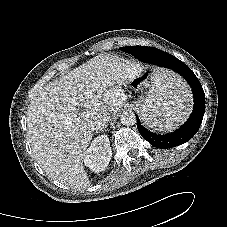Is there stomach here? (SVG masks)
I'll return each instance as SVG.
<instances>
[{
  "mask_svg": "<svg viewBox=\"0 0 227 227\" xmlns=\"http://www.w3.org/2000/svg\"><path fill=\"white\" fill-rule=\"evenodd\" d=\"M111 92L113 94L119 95V94H121V89L114 87L111 89Z\"/></svg>",
  "mask_w": 227,
  "mask_h": 227,
  "instance_id": "0dacf381",
  "label": "stomach"
}]
</instances>
